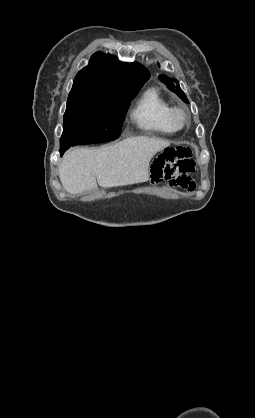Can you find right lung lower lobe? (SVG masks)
<instances>
[{"label":"right lung lower lobe","instance_id":"right-lung-lower-lobe-1","mask_svg":"<svg viewBox=\"0 0 255 418\" xmlns=\"http://www.w3.org/2000/svg\"><path fill=\"white\" fill-rule=\"evenodd\" d=\"M69 147L68 146H60V154L62 155Z\"/></svg>","mask_w":255,"mask_h":418}]
</instances>
